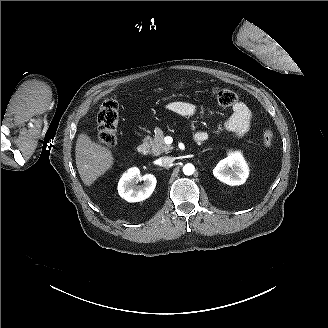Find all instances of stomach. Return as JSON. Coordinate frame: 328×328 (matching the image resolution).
<instances>
[{
  "mask_svg": "<svg viewBox=\"0 0 328 328\" xmlns=\"http://www.w3.org/2000/svg\"><path fill=\"white\" fill-rule=\"evenodd\" d=\"M192 86V83L186 80H172L168 87L172 90H184Z\"/></svg>",
  "mask_w": 328,
  "mask_h": 328,
  "instance_id": "stomach-1",
  "label": "stomach"
}]
</instances>
